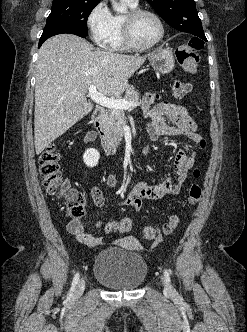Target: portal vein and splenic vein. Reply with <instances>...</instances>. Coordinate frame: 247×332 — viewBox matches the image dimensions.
<instances>
[{
  "label": "portal vein and splenic vein",
  "instance_id": "1",
  "mask_svg": "<svg viewBox=\"0 0 247 332\" xmlns=\"http://www.w3.org/2000/svg\"><path fill=\"white\" fill-rule=\"evenodd\" d=\"M89 97L97 104L110 109H130L138 105L133 101H126L125 99L109 98L98 92L95 86H90L88 89Z\"/></svg>",
  "mask_w": 247,
  "mask_h": 332
}]
</instances>
